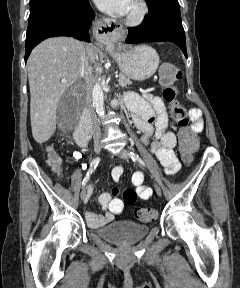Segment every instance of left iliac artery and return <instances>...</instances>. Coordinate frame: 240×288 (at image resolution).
<instances>
[{
  "instance_id": "44dca946",
  "label": "left iliac artery",
  "mask_w": 240,
  "mask_h": 288,
  "mask_svg": "<svg viewBox=\"0 0 240 288\" xmlns=\"http://www.w3.org/2000/svg\"><path fill=\"white\" fill-rule=\"evenodd\" d=\"M129 156L132 158L133 161L138 162L139 164L145 166L144 161L134 152H129Z\"/></svg>"
}]
</instances>
